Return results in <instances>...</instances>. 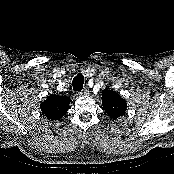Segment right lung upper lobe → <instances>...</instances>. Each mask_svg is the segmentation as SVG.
I'll return each instance as SVG.
<instances>
[{
  "mask_svg": "<svg viewBox=\"0 0 174 174\" xmlns=\"http://www.w3.org/2000/svg\"><path fill=\"white\" fill-rule=\"evenodd\" d=\"M71 99L67 96H57L50 94L40 105L42 114L49 120H58L68 111Z\"/></svg>",
  "mask_w": 174,
  "mask_h": 174,
  "instance_id": "cb5924a9",
  "label": "right lung upper lobe"
}]
</instances>
